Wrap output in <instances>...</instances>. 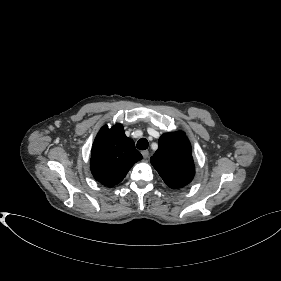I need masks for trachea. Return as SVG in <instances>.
Segmentation results:
<instances>
[{
    "mask_svg": "<svg viewBox=\"0 0 281 281\" xmlns=\"http://www.w3.org/2000/svg\"><path fill=\"white\" fill-rule=\"evenodd\" d=\"M148 148V141L146 138H141L137 142V149L146 150Z\"/></svg>",
    "mask_w": 281,
    "mask_h": 281,
    "instance_id": "1",
    "label": "trachea"
}]
</instances>
